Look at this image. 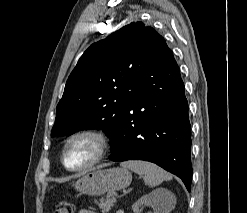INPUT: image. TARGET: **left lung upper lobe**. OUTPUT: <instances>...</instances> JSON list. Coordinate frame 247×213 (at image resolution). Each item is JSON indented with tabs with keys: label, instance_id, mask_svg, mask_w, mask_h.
Listing matches in <instances>:
<instances>
[{
	"label": "left lung upper lobe",
	"instance_id": "left-lung-upper-lobe-1",
	"mask_svg": "<svg viewBox=\"0 0 247 213\" xmlns=\"http://www.w3.org/2000/svg\"><path fill=\"white\" fill-rule=\"evenodd\" d=\"M170 51L161 35L139 21L92 44L67 80L51 136L102 129L113 143L129 100Z\"/></svg>",
	"mask_w": 247,
	"mask_h": 213
}]
</instances>
